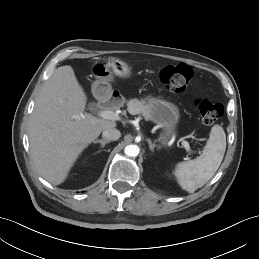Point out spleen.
Returning <instances> with one entry per match:
<instances>
[{
  "label": "spleen",
  "mask_w": 259,
  "mask_h": 259,
  "mask_svg": "<svg viewBox=\"0 0 259 259\" xmlns=\"http://www.w3.org/2000/svg\"><path fill=\"white\" fill-rule=\"evenodd\" d=\"M226 150V134L220 125L211 128L203 153L194 160L176 165L174 175L185 191L193 193L204 186L218 170Z\"/></svg>",
  "instance_id": "1"
}]
</instances>
